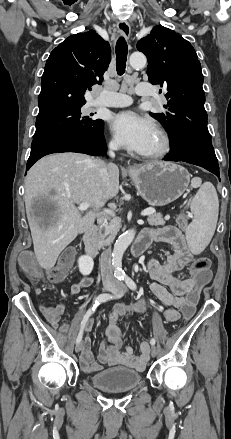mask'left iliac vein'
I'll return each mask as SVG.
<instances>
[{"label": "left iliac vein", "mask_w": 231, "mask_h": 439, "mask_svg": "<svg viewBox=\"0 0 231 439\" xmlns=\"http://www.w3.org/2000/svg\"><path fill=\"white\" fill-rule=\"evenodd\" d=\"M122 291H126V287L123 284H120L116 286L113 293L120 294ZM150 353L152 357H155L157 355V349L154 345H152Z\"/></svg>", "instance_id": "left-iliac-vein-1"}]
</instances>
